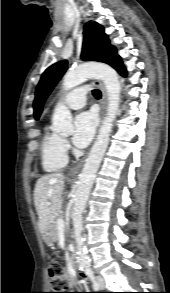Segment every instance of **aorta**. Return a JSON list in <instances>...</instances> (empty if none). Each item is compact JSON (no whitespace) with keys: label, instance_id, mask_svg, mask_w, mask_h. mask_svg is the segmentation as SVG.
<instances>
[{"label":"aorta","instance_id":"1","mask_svg":"<svg viewBox=\"0 0 170 293\" xmlns=\"http://www.w3.org/2000/svg\"><path fill=\"white\" fill-rule=\"evenodd\" d=\"M90 77H96L103 81L107 95V113L102 121L97 139L86 159L82 172L79 175L78 188L75 194L73 208L74 238L77 248V260L82 268L90 266V260L84 247L82 236L83 221L86 203L93 186V182L108 147L113 121L120 104L121 85L116 71L104 63H88L69 70L63 77V89L68 91L85 82ZM52 130L57 133L72 134V115L70 110L59 103L52 117Z\"/></svg>","mask_w":170,"mask_h":293}]
</instances>
